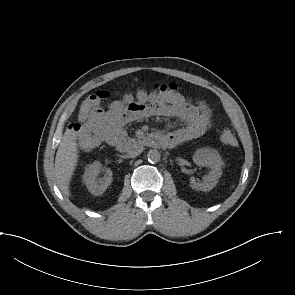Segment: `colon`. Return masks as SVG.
Masks as SVG:
<instances>
[{
    "label": "colon",
    "mask_w": 295,
    "mask_h": 295,
    "mask_svg": "<svg viewBox=\"0 0 295 295\" xmlns=\"http://www.w3.org/2000/svg\"><path fill=\"white\" fill-rule=\"evenodd\" d=\"M155 92L180 94L178 87L175 84H157L154 87ZM107 92H97L88 96L81 104L79 110L78 122L74 125L77 132L83 133L90 144L96 143L100 138V133L97 131H86V123L89 117L100 107L101 102L108 97ZM181 95V94H180ZM182 96V95H181ZM183 97V96H182ZM220 141L227 146H236L237 139L231 129L225 128L220 133Z\"/></svg>",
    "instance_id": "5ec220e1"
}]
</instances>
